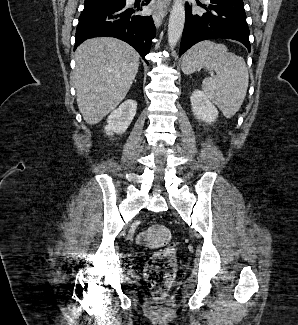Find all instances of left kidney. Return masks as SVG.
I'll use <instances>...</instances> for the list:
<instances>
[{
    "label": "left kidney",
    "instance_id": "left-kidney-1",
    "mask_svg": "<svg viewBox=\"0 0 298 325\" xmlns=\"http://www.w3.org/2000/svg\"><path fill=\"white\" fill-rule=\"evenodd\" d=\"M190 102L192 112L198 120H203V122L212 124V122L218 118L219 112L215 104L207 98L203 90H193L190 96Z\"/></svg>",
    "mask_w": 298,
    "mask_h": 325
}]
</instances>
